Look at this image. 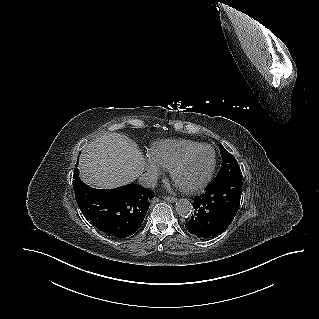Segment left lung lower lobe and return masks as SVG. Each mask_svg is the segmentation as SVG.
<instances>
[{
  "mask_svg": "<svg viewBox=\"0 0 319 319\" xmlns=\"http://www.w3.org/2000/svg\"><path fill=\"white\" fill-rule=\"evenodd\" d=\"M242 176H229L210 183L204 192L194 198V214L186 229L199 238L221 234L234 219L241 199Z\"/></svg>",
  "mask_w": 319,
  "mask_h": 319,
  "instance_id": "1",
  "label": "left lung lower lobe"
}]
</instances>
